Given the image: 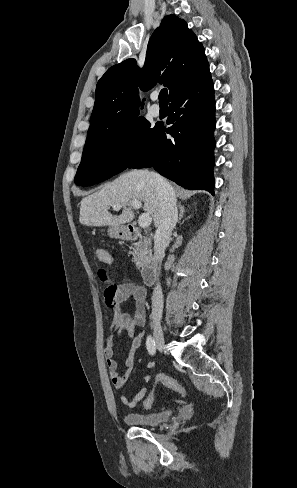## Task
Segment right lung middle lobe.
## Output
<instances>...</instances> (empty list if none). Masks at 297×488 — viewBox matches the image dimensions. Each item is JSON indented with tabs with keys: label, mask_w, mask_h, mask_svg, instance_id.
<instances>
[{
	"label": "right lung middle lobe",
	"mask_w": 297,
	"mask_h": 488,
	"mask_svg": "<svg viewBox=\"0 0 297 488\" xmlns=\"http://www.w3.org/2000/svg\"><path fill=\"white\" fill-rule=\"evenodd\" d=\"M158 128L139 117L130 123L88 137L75 184L91 186L127 169L147 148Z\"/></svg>",
	"instance_id": "dd1d6c3e"
}]
</instances>
